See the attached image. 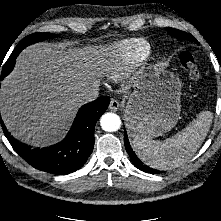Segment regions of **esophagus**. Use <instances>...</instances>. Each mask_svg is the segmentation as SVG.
<instances>
[{
	"label": "esophagus",
	"mask_w": 221,
	"mask_h": 221,
	"mask_svg": "<svg viewBox=\"0 0 221 221\" xmlns=\"http://www.w3.org/2000/svg\"><path fill=\"white\" fill-rule=\"evenodd\" d=\"M119 102L116 100V99H114V98H111V100H110V104H109V109L111 110V111H117L118 110V108H119Z\"/></svg>",
	"instance_id": "1"
}]
</instances>
